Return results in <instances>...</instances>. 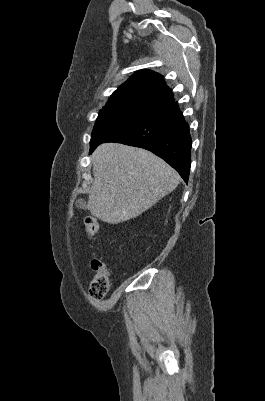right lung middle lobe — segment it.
Masks as SVG:
<instances>
[{
  "instance_id": "1",
  "label": "right lung middle lobe",
  "mask_w": 265,
  "mask_h": 401,
  "mask_svg": "<svg viewBox=\"0 0 265 401\" xmlns=\"http://www.w3.org/2000/svg\"><path fill=\"white\" fill-rule=\"evenodd\" d=\"M162 106L144 102L105 106L96 120L90 146L95 147L109 139L117 131L160 110Z\"/></svg>"
}]
</instances>
